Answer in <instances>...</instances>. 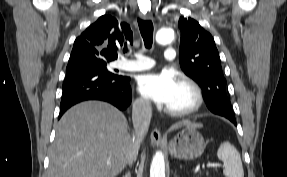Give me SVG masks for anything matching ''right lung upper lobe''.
<instances>
[{"mask_svg": "<svg viewBox=\"0 0 287 177\" xmlns=\"http://www.w3.org/2000/svg\"><path fill=\"white\" fill-rule=\"evenodd\" d=\"M128 41L132 42L130 26L103 15L76 38L69 61L86 56L115 60L117 51Z\"/></svg>", "mask_w": 287, "mask_h": 177, "instance_id": "cb5924a9", "label": "right lung upper lobe"}]
</instances>
